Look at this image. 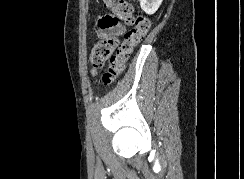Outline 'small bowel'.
<instances>
[{
  "instance_id": "small-bowel-1",
  "label": "small bowel",
  "mask_w": 244,
  "mask_h": 179,
  "mask_svg": "<svg viewBox=\"0 0 244 179\" xmlns=\"http://www.w3.org/2000/svg\"><path fill=\"white\" fill-rule=\"evenodd\" d=\"M115 26L114 18L110 15L102 16L99 20V30L98 36L103 37L106 35V32L113 29Z\"/></svg>"
}]
</instances>
